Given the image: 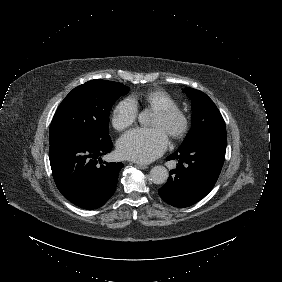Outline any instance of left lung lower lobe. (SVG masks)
<instances>
[{"label":"left lung lower lobe","instance_id":"0a47b994","mask_svg":"<svg viewBox=\"0 0 282 282\" xmlns=\"http://www.w3.org/2000/svg\"><path fill=\"white\" fill-rule=\"evenodd\" d=\"M227 144L226 131L206 133L167 157L178 159L165 185L158 190L168 204L185 208L204 198L221 172Z\"/></svg>","mask_w":282,"mask_h":282}]
</instances>
